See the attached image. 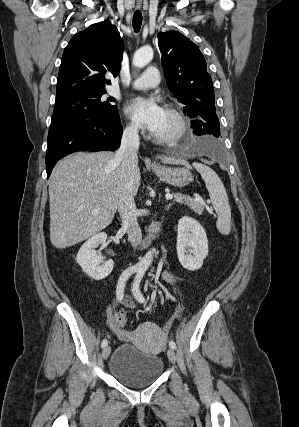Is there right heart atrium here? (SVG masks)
Returning a JSON list of instances; mask_svg holds the SVG:
<instances>
[{"label":"right heart atrium","mask_w":299,"mask_h":427,"mask_svg":"<svg viewBox=\"0 0 299 427\" xmlns=\"http://www.w3.org/2000/svg\"><path fill=\"white\" fill-rule=\"evenodd\" d=\"M125 133L128 136L135 137L138 135V129L134 124L130 123L125 127Z\"/></svg>","instance_id":"right-heart-atrium-1"}]
</instances>
